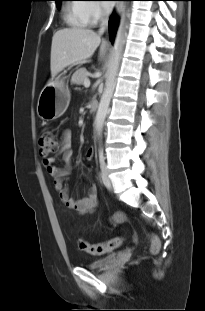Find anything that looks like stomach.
Wrapping results in <instances>:
<instances>
[{
	"instance_id": "obj_1",
	"label": "stomach",
	"mask_w": 205,
	"mask_h": 311,
	"mask_svg": "<svg viewBox=\"0 0 205 311\" xmlns=\"http://www.w3.org/2000/svg\"><path fill=\"white\" fill-rule=\"evenodd\" d=\"M69 100V89L64 79L58 76L42 89L38 98L37 114L43 120H55L64 114Z\"/></svg>"
}]
</instances>
